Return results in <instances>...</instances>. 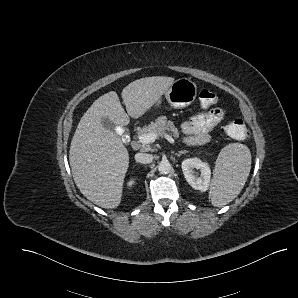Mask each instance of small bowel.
<instances>
[{
	"label": "small bowel",
	"instance_id": "obj_1",
	"mask_svg": "<svg viewBox=\"0 0 298 298\" xmlns=\"http://www.w3.org/2000/svg\"><path fill=\"white\" fill-rule=\"evenodd\" d=\"M225 115L224 109L213 108L184 121L181 128L190 137L191 142L203 143L208 140L209 132L225 118Z\"/></svg>",
	"mask_w": 298,
	"mask_h": 298
}]
</instances>
